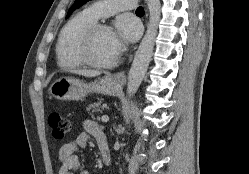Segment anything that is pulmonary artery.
<instances>
[{
  "mask_svg": "<svg viewBox=\"0 0 249 174\" xmlns=\"http://www.w3.org/2000/svg\"><path fill=\"white\" fill-rule=\"evenodd\" d=\"M137 0H99L89 5L85 13L93 20L106 17L119 11H130L135 7Z\"/></svg>",
  "mask_w": 249,
  "mask_h": 174,
  "instance_id": "obj_1",
  "label": "pulmonary artery"
}]
</instances>
